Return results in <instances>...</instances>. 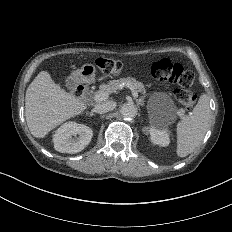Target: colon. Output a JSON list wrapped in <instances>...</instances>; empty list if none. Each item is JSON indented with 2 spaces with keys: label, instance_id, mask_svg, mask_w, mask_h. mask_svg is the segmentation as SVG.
I'll list each match as a JSON object with an SVG mask.
<instances>
[{
  "label": "colon",
  "instance_id": "colon-1",
  "mask_svg": "<svg viewBox=\"0 0 232 232\" xmlns=\"http://www.w3.org/2000/svg\"><path fill=\"white\" fill-rule=\"evenodd\" d=\"M94 69L99 73H119L120 61L109 59L105 61L103 58H98L94 62ZM151 75L158 82H176L177 86H185L182 89V94L178 97L179 111H194L192 102H197L198 98L194 97L195 91H198V86H193L197 82V77L188 70L175 68V65L169 60L164 59L157 61L151 67ZM163 76V77H162Z\"/></svg>",
  "mask_w": 232,
  "mask_h": 232
}]
</instances>
